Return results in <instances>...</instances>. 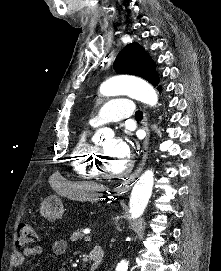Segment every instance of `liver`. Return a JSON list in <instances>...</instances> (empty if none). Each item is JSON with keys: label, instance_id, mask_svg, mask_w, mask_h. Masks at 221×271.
<instances>
[{"label": "liver", "instance_id": "1", "mask_svg": "<svg viewBox=\"0 0 221 271\" xmlns=\"http://www.w3.org/2000/svg\"><path fill=\"white\" fill-rule=\"evenodd\" d=\"M57 193L59 191L56 185H53ZM65 191L62 195L69 197V199H76V201H96V191H103L102 183H95V181H78V183H64Z\"/></svg>", "mask_w": 221, "mask_h": 271}]
</instances>
